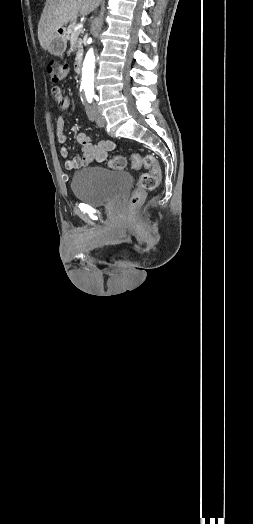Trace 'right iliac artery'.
<instances>
[{"mask_svg":"<svg viewBox=\"0 0 253 524\" xmlns=\"http://www.w3.org/2000/svg\"><path fill=\"white\" fill-rule=\"evenodd\" d=\"M86 114H87L89 120H91V121L95 120L93 107L91 105H87L86 106Z\"/></svg>","mask_w":253,"mask_h":524,"instance_id":"1","label":"right iliac artery"}]
</instances>
